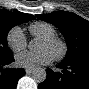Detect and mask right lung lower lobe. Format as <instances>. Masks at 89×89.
<instances>
[{
    "label": "right lung lower lobe",
    "mask_w": 89,
    "mask_h": 89,
    "mask_svg": "<svg viewBox=\"0 0 89 89\" xmlns=\"http://www.w3.org/2000/svg\"><path fill=\"white\" fill-rule=\"evenodd\" d=\"M14 61L13 54L0 58V88L15 89L18 80L25 74L24 69L6 68L3 66Z\"/></svg>",
    "instance_id": "right-lung-lower-lobe-1"
}]
</instances>
